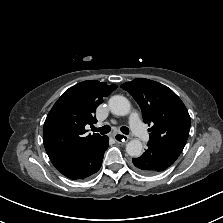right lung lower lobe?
<instances>
[{
    "mask_svg": "<svg viewBox=\"0 0 223 223\" xmlns=\"http://www.w3.org/2000/svg\"><path fill=\"white\" fill-rule=\"evenodd\" d=\"M108 144L109 138L104 136L88 152L56 168L64 176L73 180L87 178L100 169Z\"/></svg>",
    "mask_w": 223,
    "mask_h": 223,
    "instance_id": "98d812e1",
    "label": "right lung lower lobe"
}]
</instances>
